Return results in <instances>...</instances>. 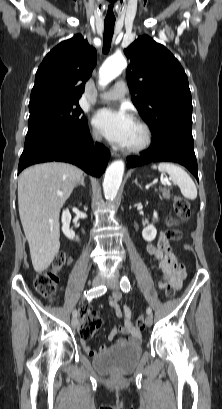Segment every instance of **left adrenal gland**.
<instances>
[{
    "label": "left adrenal gland",
    "instance_id": "1",
    "mask_svg": "<svg viewBox=\"0 0 222 409\" xmlns=\"http://www.w3.org/2000/svg\"><path fill=\"white\" fill-rule=\"evenodd\" d=\"M137 186H139L140 188H142L141 187V185L140 184H138V181H137V179H135L134 181H133Z\"/></svg>",
    "mask_w": 222,
    "mask_h": 409
}]
</instances>
